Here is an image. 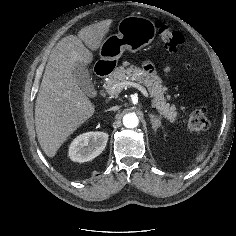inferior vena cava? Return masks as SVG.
<instances>
[{
	"mask_svg": "<svg viewBox=\"0 0 236 236\" xmlns=\"http://www.w3.org/2000/svg\"><path fill=\"white\" fill-rule=\"evenodd\" d=\"M119 109V106H113V107H111L109 110L110 111H116V110H118Z\"/></svg>",
	"mask_w": 236,
	"mask_h": 236,
	"instance_id": "602c4592",
	"label": "inferior vena cava"
}]
</instances>
